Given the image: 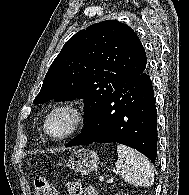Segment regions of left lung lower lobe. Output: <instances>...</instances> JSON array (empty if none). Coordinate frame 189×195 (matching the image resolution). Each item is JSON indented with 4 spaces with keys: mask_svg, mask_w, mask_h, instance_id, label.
Instances as JSON below:
<instances>
[{
    "mask_svg": "<svg viewBox=\"0 0 189 195\" xmlns=\"http://www.w3.org/2000/svg\"><path fill=\"white\" fill-rule=\"evenodd\" d=\"M93 142L124 144L155 163L157 111L147 71L113 91L66 147Z\"/></svg>",
    "mask_w": 189,
    "mask_h": 195,
    "instance_id": "left-lung-lower-lobe-1",
    "label": "left lung lower lobe"
}]
</instances>
